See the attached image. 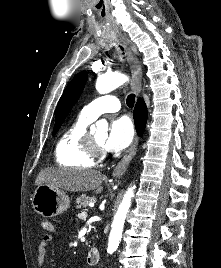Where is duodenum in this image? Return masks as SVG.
<instances>
[{"label": "duodenum", "mask_w": 221, "mask_h": 268, "mask_svg": "<svg viewBox=\"0 0 221 268\" xmlns=\"http://www.w3.org/2000/svg\"><path fill=\"white\" fill-rule=\"evenodd\" d=\"M99 259H100L99 249L96 247L89 249L86 257L87 263L89 265H95L99 262Z\"/></svg>", "instance_id": "duodenum-1"}]
</instances>
